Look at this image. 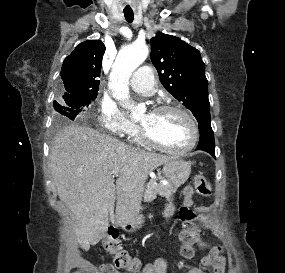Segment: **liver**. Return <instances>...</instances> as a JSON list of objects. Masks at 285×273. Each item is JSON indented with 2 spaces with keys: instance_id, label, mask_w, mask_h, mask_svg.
I'll return each instance as SVG.
<instances>
[{
  "instance_id": "6515ba94",
  "label": "liver",
  "mask_w": 285,
  "mask_h": 273,
  "mask_svg": "<svg viewBox=\"0 0 285 273\" xmlns=\"http://www.w3.org/2000/svg\"><path fill=\"white\" fill-rule=\"evenodd\" d=\"M172 159L86 126L69 125L58 132L51 146L50 168L60 200L76 217L74 231L81 248L88 251L103 238L116 198L117 223L139 218L149 173ZM115 168L120 169L116 184L111 175Z\"/></svg>"
}]
</instances>
